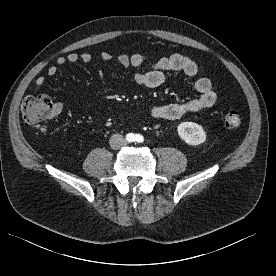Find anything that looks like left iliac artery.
Here are the masks:
<instances>
[{
    "mask_svg": "<svg viewBox=\"0 0 276 276\" xmlns=\"http://www.w3.org/2000/svg\"><path fill=\"white\" fill-rule=\"evenodd\" d=\"M135 141L137 143H142L144 141V137L142 135H140V134H136L135 135Z\"/></svg>",
    "mask_w": 276,
    "mask_h": 276,
    "instance_id": "1",
    "label": "left iliac artery"
}]
</instances>
